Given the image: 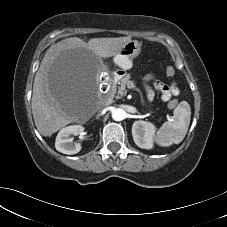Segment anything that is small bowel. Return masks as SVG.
I'll return each mask as SVG.
<instances>
[{
  "label": "small bowel",
  "mask_w": 227,
  "mask_h": 227,
  "mask_svg": "<svg viewBox=\"0 0 227 227\" xmlns=\"http://www.w3.org/2000/svg\"><path fill=\"white\" fill-rule=\"evenodd\" d=\"M151 80H153V77L151 75H149L145 78V81H144L148 100H152L153 96H154V91L149 85V82ZM153 86L158 92H160L161 98L164 101H168L172 96H176L179 94V89H178L176 83H172L170 86H168L161 82L154 81Z\"/></svg>",
  "instance_id": "1"
}]
</instances>
